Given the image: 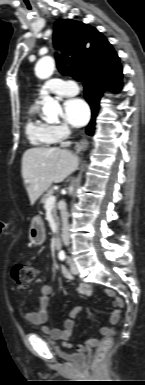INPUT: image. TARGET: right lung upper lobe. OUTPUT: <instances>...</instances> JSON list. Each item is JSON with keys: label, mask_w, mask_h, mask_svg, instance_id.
Segmentation results:
<instances>
[{"label": "right lung upper lobe", "mask_w": 145, "mask_h": 385, "mask_svg": "<svg viewBox=\"0 0 145 385\" xmlns=\"http://www.w3.org/2000/svg\"><path fill=\"white\" fill-rule=\"evenodd\" d=\"M54 44L63 52V58L56 56L60 71H64L63 66L68 62L83 77L119 62L107 39L94 27L78 21L60 19L55 22Z\"/></svg>", "instance_id": "cb5924a9"}]
</instances>
